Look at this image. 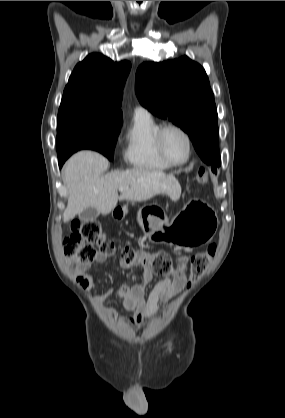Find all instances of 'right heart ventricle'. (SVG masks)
<instances>
[{
    "mask_svg": "<svg viewBox=\"0 0 285 418\" xmlns=\"http://www.w3.org/2000/svg\"><path fill=\"white\" fill-rule=\"evenodd\" d=\"M160 125L151 118H133L124 135V159L138 169L160 171L170 166L161 158L154 143Z\"/></svg>",
    "mask_w": 285,
    "mask_h": 418,
    "instance_id": "1",
    "label": "right heart ventricle"
}]
</instances>
